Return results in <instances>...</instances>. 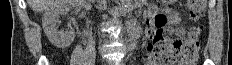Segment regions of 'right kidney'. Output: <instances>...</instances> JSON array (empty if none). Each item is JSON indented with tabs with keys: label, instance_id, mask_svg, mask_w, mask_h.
<instances>
[{
	"label": "right kidney",
	"instance_id": "obj_1",
	"mask_svg": "<svg viewBox=\"0 0 232 65\" xmlns=\"http://www.w3.org/2000/svg\"><path fill=\"white\" fill-rule=\"evenodd\" d=\"M75 6L74 0H58L56 4L48 8L42 17V26L49 41L58 48L68 47L75 37L74 29L58 31L59 16Z\"/></svg>",
	"mask_w": 232,
	"mask_h": 65
}]
</instances>
